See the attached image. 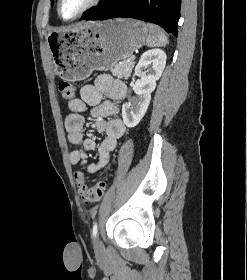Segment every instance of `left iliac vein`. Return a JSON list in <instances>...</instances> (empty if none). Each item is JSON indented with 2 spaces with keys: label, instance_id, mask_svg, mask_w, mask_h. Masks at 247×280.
Returning <instances> with one entry per match:
<instances>
[{
  "label": "left iliac vein",
  "instance_id": "left-iliac-vein-1",
  "mask_svg": "<svg viewBox=\"0 0 247 280\" xmlns=\"http://www.w3.org/2000/svg\"><path fill=\"white\" fill-rule=\"evenodd\" d=\"M94 246H95L96 251H100L102 249V243L98 236L95 237Z\"/></svg>",
  "mask_w": 247,
  "mask_h": 280
}]
</instances>
